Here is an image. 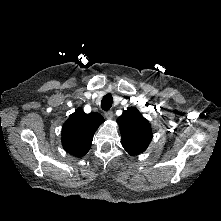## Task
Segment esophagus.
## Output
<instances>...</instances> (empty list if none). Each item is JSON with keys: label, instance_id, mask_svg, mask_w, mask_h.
Segmentation results:
<instances>
[{"label": "esophagus", "instance_id": "1", "mask_svg": "<svg viewBox=\"0 0 221 221\" xmlns=\"http://www.w3.org/2000/svg\"><path fill=\"white\" fill-rule=\"evenodd\" d=\"M104 116L106 119L110 120L113 118V112L112 111H107L104 113Z\"/></svg>", "mask_w": 221, "mask_h": 221}]
</instances>
